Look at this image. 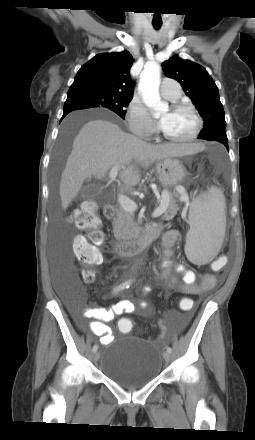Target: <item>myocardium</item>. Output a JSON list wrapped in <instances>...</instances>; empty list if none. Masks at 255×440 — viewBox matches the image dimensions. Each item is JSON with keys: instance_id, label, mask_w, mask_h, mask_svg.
Returning a JSON list of instances; mask_svg holds the SVG:
<instances>
[{"instance_id": "1", "label": "myocardium", "mask_w": 255, "mask_h": 440, "mask_svg": "<svg viewBox=\"0 0 255 440\" xmlns=\"http://www.w3.org/2000/svg\"><path fill=\"white\" fill-rule=\"evenodd\" d=\"M171 110H173V111H176V110H187V111H189L193 115V117L195 118V121H196L195 129L191 133V135H189L186 138H181V139L174 138V137L168 135L167 133H165L163 130H162V136L166 140H169V141H172V142H175V143H188V142H191V141L195 140L199 136V134H200V132L202 130V127H203L202 118L199 115V113L196 111V109L193 106L189 105V104L182 103V102H176V103H174L171 106Z\"/></svg>"}]
</instances>
